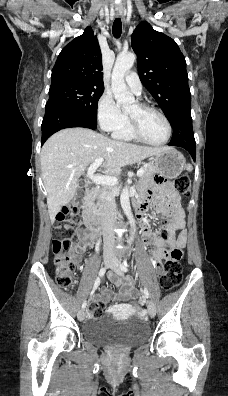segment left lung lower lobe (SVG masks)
<instances>
[{"instance_id": "0a47b994", "label": "left lung lower lobe", "mask_w": 228, "mask_h": 396, "mask_svg": "<svg viewBox=\"0 0 228 396\" xmlns=\"http://www.w3.org/2000/svg\"><path fill=\"white\" fill-rule=\"evenodd\" d=\"M180 119L172 121L173 136L168 145L178 146L186 149L195 161L196 142L192 128V118L190 107L181 108Z\"/></svg>"}]
</instances>
